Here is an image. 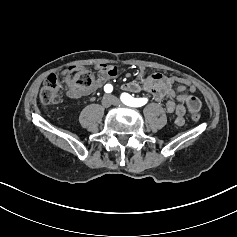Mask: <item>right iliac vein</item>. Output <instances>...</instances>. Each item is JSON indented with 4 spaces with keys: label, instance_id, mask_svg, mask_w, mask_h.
I'll return each instance as SVG.
<instances>
[{
    "label": "right iliac vein",
    "instance_id": "obj_1",
    "mask_svg": "<svg viewBox=\"0 0 237 237\" xmlns=\"http://www.w3.org/2000/svg\"><path fill=\"white\" fill-rule=\"evenodd\" d=\"M112 104L111 95H105L102 99V105L106 108L110 107Z\"/></svg>",
    "mask_w": 237,
    "mask_h": 237
}]
</instances>
